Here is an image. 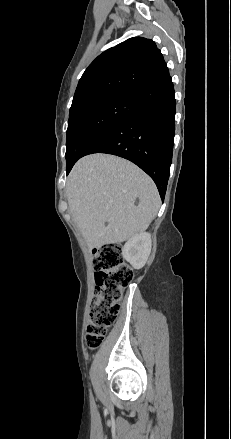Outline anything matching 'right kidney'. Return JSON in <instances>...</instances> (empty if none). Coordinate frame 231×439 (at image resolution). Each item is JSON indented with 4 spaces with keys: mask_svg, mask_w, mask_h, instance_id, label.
<instances>
[{
    "mask_svg": "<svg viewBox=\"0 0 231 439\" xmlns=\"http://www.w3.org/2000/svg\"><path fill=\"white\" fill-rule=\"evenodd\" d=\"M151 246V235L142 232L126 242L122 248V255L135 269H141L147 262Z\"/></svg>",
    "mask_w": 231,
    "mask_h": 439,
    "instance_id": "right-kidney-1",
    "label": "right kidney"
}]
</instances>
